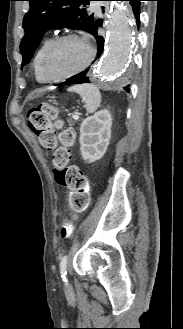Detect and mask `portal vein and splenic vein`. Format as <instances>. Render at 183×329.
Here are the masks:
<instances>
[{"label": "portal vein and splenic vein", "instance_id": "obj_1", "mask_svg": "<svg viewBox=\"0 0 183 329\" xmlns=\"http://www.w3.org/2000/svg\"><path fill=\"white\" fill-rule=\"evenodd\" d=\"M73 119L78 120V119H79V115H78L77 113H75V114L73 115Z\"/></svg>", "mask_w": 183, "mask_h": 329}]
</instances>
